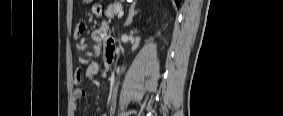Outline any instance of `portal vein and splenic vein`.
<instances>
[{"instance_id": "1", "label": "portal vein and splenic vein", "mask_w": 283, "mask_h": 116, "mask_svg": "<svg viewBox=\"0 0 283 116\" xmlns=\"http://www.w3.org/2000/svg\"><path fill=\"white\" fill-rule=\"evenodd\" d=\"M117 13H118V14H117V17H118V18H121V17L123 16V14H124V11H123L122 9H120V10H118Z\"/></svg>"}]
</instances>
